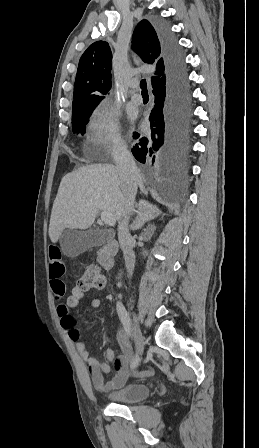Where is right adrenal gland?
Returning a JSON list of instances; mask_svg holds the SVG:
<instances>
[{
    "label": "right adrenal gland",
    "instance_id": "1",
    "mask_svg": "<svg viewBox=\"0 0 259 448\" xmlns=\"http://www.w3.org/2000/svg\"><path fill=\"white\" fill-rule=\"evenodd\" d=\"M154 208H152L151 204L145 202V200H140L137 208V218L134 220L131 230H140L146 222H150V220H154L160 212H153Z\"/></svg>",
    "mask_w": 259,
    "mask_h": 448
}]
</instances>
